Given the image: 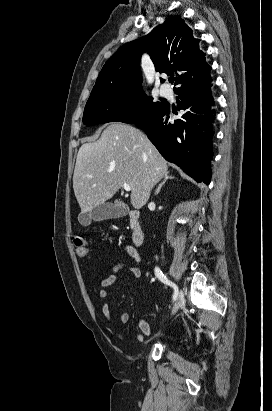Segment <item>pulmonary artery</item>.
I'll list each match as a JSON object with an SVG mask.
<instances>
[{"label":"pulmonary artery","instance_id":"obj_1","mask_svg":"<svg viewBox=\"0 0 272 411\" xmlns=\"http://www.w3.org/2000/svg\"><path fill=\"white\" fill-rule=\"evenodd\" d=\"M160 92L165 97H169L172 94V90L168 85H162L160 88Z\"/></svg>","mask_w":272,"mask_h":411}]
</instances>
